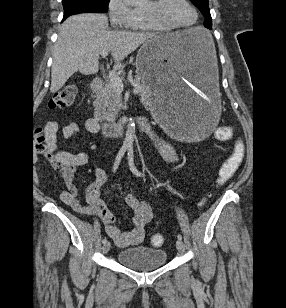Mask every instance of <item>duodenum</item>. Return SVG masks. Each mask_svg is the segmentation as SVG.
I'll list each match as a JSON object with an SVG mask.
<instances>
[{
	"label": "duodenum",
	"mask_w": 286,
	"mask_h": 308,
	"mask_svg": "<svg viewBox=\"0 0 286 308\" xmlns=\"http://www.w3.org/2000/svg\"><path fill=\"white\" fill-rule=\"evenodd\" d=\"M103 87V80L99 77L95 78L92 81L91 89L93 92L99 91ZM137 126L141 129L147 127L148 119L142 118L137 121ZM127 122L118 121V122H102L101 130L103 134L107 137H115L123 134L126 131Z\"/></svg>",
	"instance_id": "duodenum-1"
}]
</instances>
